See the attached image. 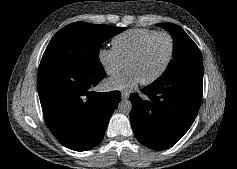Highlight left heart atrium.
Here are the masks:
<instances>
[{
  "label": "left heart atrium",
  "mask_w": 237,
  "mask_h": 169,
  "mask_svg": "<svg viewBox=\"0 0 237 169\" xmlns=\"http://www.w3.org/2000/svg\"><path fill=\"white\" fill-rule=\"evenodd\" d=\"M140 79L132 70H127L121 75L108 80L107 85L112 89H130L137 85Z\"/></svg>",
  "instance_id": "left-heart-atrium-1"
}]
</instances>
